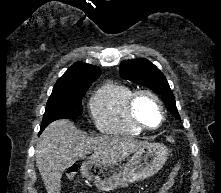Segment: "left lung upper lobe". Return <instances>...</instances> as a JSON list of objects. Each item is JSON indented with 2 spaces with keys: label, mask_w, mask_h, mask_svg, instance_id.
<instances>
[{
  "label": "left lung upper lobe",
  "mask_w": 221,
  "mask_h": 193,
  "mask_svg": "<svg viewBox=\"0 0 221 193\" xmlns=\"http://www.w3.org/2000/svg\"><path fill=\"white\" fill-rule=\"evenodd\" d=\"M120 75L123 79L144 85L152 89L167 106L169 112L180 119L174 95L162 72L147 59L123 61L120 64Z\"/></svg>",
  "instance_id": "left-lung-upper-lobe-1"
}]
</instances>
